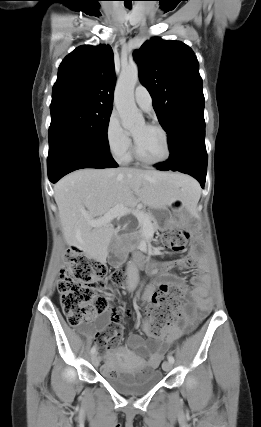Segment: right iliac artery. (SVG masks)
Instances as JSON below:
<instances>
[{
    "instance_id": "82829eb1",
    "label": "right iliac artery",
    "mask_w": 261,
    "mask_h": 427,
    "mask_svg": "<svg viewBox=\"0 0 261 427\" xmlns=\"http://www.w3.org/2000/svg\"><path fill=\"white\" fill-rule=\"evenodd\" d=\"M96 353V346H93L92 348H91V354H95Z\"/></svg>"
}]
</instances>
